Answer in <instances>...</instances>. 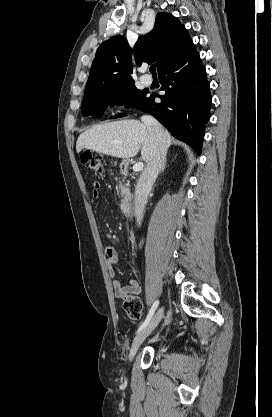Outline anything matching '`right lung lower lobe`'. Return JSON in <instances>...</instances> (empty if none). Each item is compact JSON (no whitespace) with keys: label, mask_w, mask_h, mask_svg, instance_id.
<instances>
[{"label":"right lung lower lobe","mask_w":272,"mask_h":417,"mask_svg":"<svg viewBox=\"0 0 272 417\" xmlns=\"http://www.w3.org/2000/svg\"><path fill=\"white\" fill-rule=\"evenodd\" d=\"M165 94H152L139 108L157 118L170 133L201 154L211 93L206 70L193 42L158 71ZM159 97L161 103L154 99Z\"/></svg>","instance_id":"1"}]
</instances>
